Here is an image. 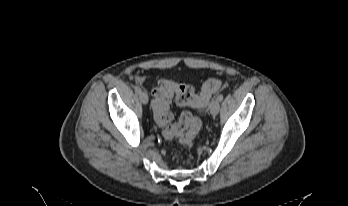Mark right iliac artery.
I'll return each mask as SVG.
<instances>
[{
    "mask_svg": "<svg viewBox=\"0 0 348 206\" xmlns=\"http://www.w3.org/2000/svg\"><path fill=\"white\" fill-rule=\"evenodd\" d=\"M135 92H136L137 94H140L141 88H140L139 86H136V87H135Z\"/></svg>",
    "mask_w": 348,
    "mask_h": 206,
    "instance_id": "82829eb1",
    "label": "right iliac artery"
}]
</instances>
